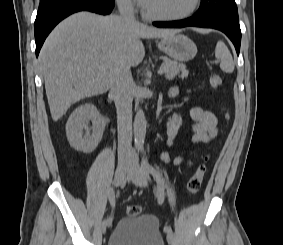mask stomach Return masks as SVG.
<instances>
[{"mask_svg":"<svg viewBox=\"0 0 283 245\" xmlns=\"http://www.w3.org/2000/svg\"><path fill=\"white\" fill-rule=\"evenodd\" d=\"M158 48L169 57L180 62L193 59L197 53L195 43L182 34L166 37L158 43Z\"/></svg>","mask_w":283,"mask_h":245,"instance_id":"obj_1","label":"stomach"}]
</instances>
